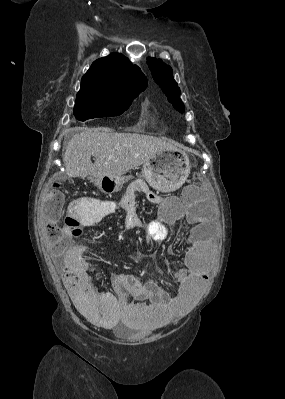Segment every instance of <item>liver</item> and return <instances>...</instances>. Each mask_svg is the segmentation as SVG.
Masks as SVG:
<instances>
[{"mask_svg": "<svg viewBox=\"0 0 285 399\" xmlns=\"http://www.w3.org/2000/svg\"><path fill=\"white\" fill-rule=\"evenodd\" d=\"M176 148L150 135L116 133L110 129L85 128L68 142L63 161L68 177H120L144 164L156 153ZM91 156L95 157L92 163Z\"/></svg>", "mask_w": 285, "mask_h": 399, "instance_id": "liver-1", "label": "liver"}]
</instances>
